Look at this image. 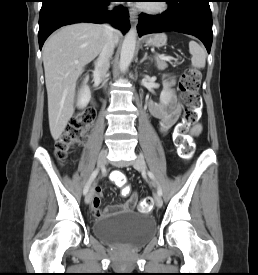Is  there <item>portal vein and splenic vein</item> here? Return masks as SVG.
Segmentation results:
<instances>
[{"instance_id": "1", "label": "portal vein and splenic vein", "mask_w": 258, "mask_h": 275, "mask_svg": "<svg viewBox=\"0 0 258 275\" xmlns=\"http://www.w3.org/2000/svg\"><path fill=\"white\" fill-rule=\"evenodd\" d=\"M158 57L165 61H170L173 59L171 56H165V55H158Z\"/></svg>"}]
</instances>
